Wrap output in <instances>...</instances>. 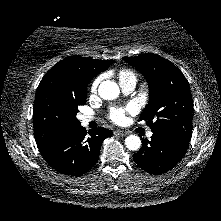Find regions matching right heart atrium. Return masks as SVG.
Masks as SVG:
<instances>
[{
  "instance_id": "obj_1",
  "label": "right heart atrium",
  "mask_w": 221,
  "mask_h": 221,
  "mask_svg": "<svg viewBox=\"0 0 221 221\" xmlns=\"http://www.w3.org/2000/svg\"><path fill=\"white\" fill-rule=\"evenodd\" d=\"M100 81H101V76H98L93 80V82L91 84V91L92 92H95L97 90Z\"/></svg>"
}]
</instances>
